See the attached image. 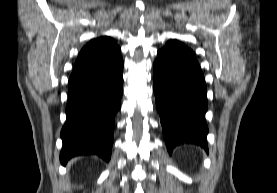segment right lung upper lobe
<instances>
[{"label":"right lung upper lobe","instance_id":"right-lung-upper-lobe-1","mask_svg":"<svg viewBox=\"0 0 277 193\" xmlns=\"http://www.w3.org/2000/svg\"><path fill=\"white\" fill-rule=\"evenodd\" d=\"M117 48L118 46L111 37L103 36L93 39L82 48L74 67L89 65L100 61Z\"/></svg>","mask_w":277,"mask_h":193}]
</instances>
